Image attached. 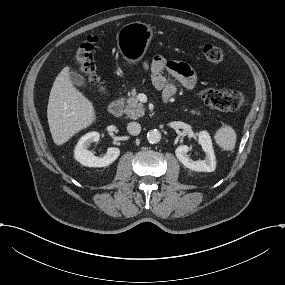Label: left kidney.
<instances>
[{
    "instance_id": "left-kidney-1",
    "label": "left kidney",
    "mask_w": 285,
    "mask_h": 285,
    "mask_svg": "<svg viewBox=\"0 0 285 285\" xmlns=\"http://www.w3.org/2000/svg\"><path fill=\"white\" fill-rule=\"evenodd\" d=\"M198 144L205 152V160L195 162L187 155L189 147L187 145H180L175 150L177 159L188 169L196 172H213L216 168V161L212 149L210 136L207 132H201L198 136Z\"/></svg>"
}]
</instances>
